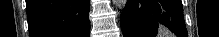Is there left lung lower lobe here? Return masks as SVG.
<instances>
[{"label":"left lung lower lobe","instance_id":"0a47b994","mask_svg":"<svg viewBox=\"0 0 219 37\" xmlns=\"http://www.w3.org/2000/svg\"><path fill=\"white\" fill-rule=\"evenodd\" d=\"M120 25L124 37H155L162 26L188 37L181 0H128Z\"/></svg>","mask_w":219,"mask_h":37}]
</instances>
